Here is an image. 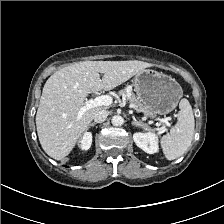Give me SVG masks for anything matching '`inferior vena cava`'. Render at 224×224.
Instances as JSON below:
<instances>
[{
	"label": "inferior vena cava",
	"instance_id": "obj_1",
	"mask_svg": "<svg viewBox=\"0 0 224 224\" xmlns=\"http://www.w3.org/2000/svg\"><path fill=\"white\" fill-rule=\"evenodd\" d=\"M108 114H109V113H108L107 110H105V109H101V110H98V111L95 113L93 119H94L95 122H97V123H101V122H103V121L106 120Z\"/></svg>",
	"mask_w": 224,
	"mask_h": 224
}]
</instances>
